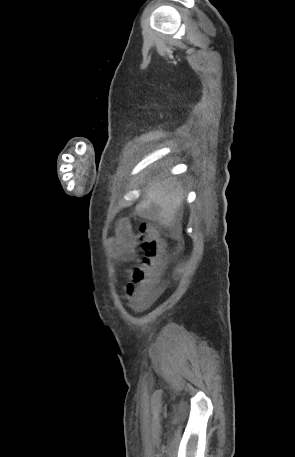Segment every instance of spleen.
Here are the masks:
<instances>
[{
    "label": "spleen",
    "instance_id": "3e777b00",
    "mask_svg": "<svg viewBox=\"0 0 295 457\" xmlns=\"http://www.w3.org/2000/svg\"><path fill=\"white\" fill-rule=\"evenodd\" d=\"M184 200V190L175 179L155 180L149 183L144 199L136 206L139 212L157 210L161 223L170 225Z\"/></svg>",
    "mask_w": 295,
    "mask_h": 457
}]
</instances>
